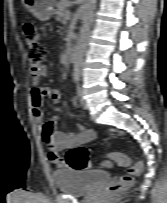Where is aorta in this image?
Returning a JSON list of instances; mask_svg holds the SVG:
<instances>
[{"mask_svg": "<svg viewBox=\"0 0 167 203\" xmlns=\"http://www.w3.org/2000/svg\"><path fill=\"white\" fill-rule=\"evenodd\" d=\"M96 7V0H87L84 5V16L78 41L73 56V65L75 74H79L83 67V59L90 36L91 24L93 21V13Z\"/></svg>", "mask_w": 167, "mask_h": 203, "instance_id": "1", "label": "aorta"}]
</instances>
